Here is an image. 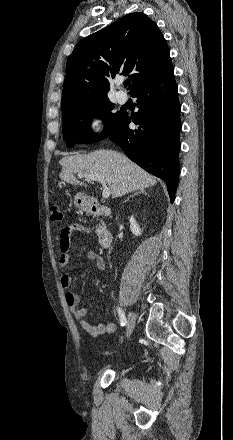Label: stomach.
Listing matches in <instances>:
<instances>
[{
    "mask_svg": "<svg viewBox=\"0 0 233 440\" xmlns=\"http://www.w3.org/2000/svg\"><path fill=\"white\" fill-rule=\"evenodd\" d=\"M74 205L83 211H89L92 206V200L83 193H77L74 197Z\"/></svg>",
    "mask_w": 233,
    "mask_h": 440,
    "instance_id": "obj_1",
    "label": "stomach"
}]
</instances>
